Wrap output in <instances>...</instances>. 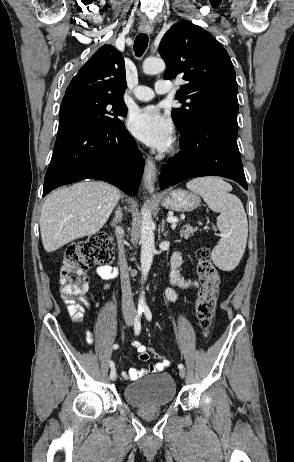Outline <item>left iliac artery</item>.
Instances as JSON below:
<instances>
[{
	"instance_id": "1",
	"label": "left iliac artery",
	"mask_w": 294,
	"mask_h": 462,
	"mask_svg": "<svg viewBox=\"0 0 294 462\" xmlns=\"http://www.w3.org/2000/svg\"><path fill=\"white\" fill-rule=\"evenodd\" d=\"M143 312H144V314H145L147 320H148V321H151V319H152V314H151V311H150L149 307L145 306V307L143 308ZM178 368H179V369H183V368H184V365H183V364H179V365H178Z\"/></svg>"
}]
</instances>
